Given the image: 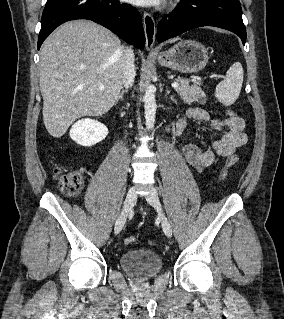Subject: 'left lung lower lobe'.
<instances>
[{
  "instance_id": "0a47b994",
  "label": "left lung lower lobe",
  "mask_w": 284,
  "mask_h": 319,
  "mask_svg": "<svg viewBox=\"0 0 284 319\" xmlns=\"http://www.w3.org/2000/svg\"><path fill=\"white\" fill-rule=\"evenodd\" d=\"M201 26L229 30L245 44L246 29L239 0H182L172 13L162 17L158 24L157 41L161 43Z\"/></svg>"
}]
</instances>
